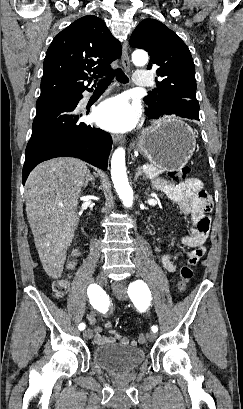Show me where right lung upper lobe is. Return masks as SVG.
<instances>
[{"mask_svg":"<svg viewBox=\"0 0 243 409\" xmlns=\"http://www.w3.org/2000/svg\"><path fill=\"white\" fill-rule=\"evenodd\" d=\"M122 47L105 22L94 15L79 18L58 33L49 46L43 65L38 100L70 97L87 90L84 80L111 70Z\"/></svg>","mask_w":243,"mask_h":409,"instance_id":"1","label":"right lung upper lobe"}]
</instances>
